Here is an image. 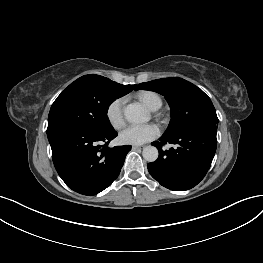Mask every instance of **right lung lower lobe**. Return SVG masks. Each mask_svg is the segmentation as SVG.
Here are the masks:
<instances>
[{
    "mask_svg": "<svg viewBox=\"0 0 263 263\" xmlns=\"http://www.w3.org/2000/svg\"><path fill=\"white\" fill-rule=\"evenodd\" d=\"M54 166L68 187L83 195H96L119 175L131 146L107 147L117 133L64 127L47 133ZM105 142V145H100Z\"/></svg>",
    "mask_w": 263,
    "mask_h": 263,
    "instance_id": "1",
    "label": "right lung lower lobe"
}]
</instances>
